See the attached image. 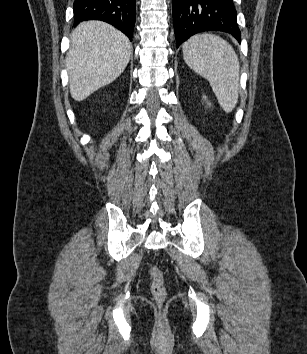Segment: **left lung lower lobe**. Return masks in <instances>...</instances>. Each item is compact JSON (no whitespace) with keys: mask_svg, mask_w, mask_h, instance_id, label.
I'll return each mask as SVG.
<instances>
[{"mask_svg":"<svg viewBox=\"0 0 307 354\" xmlns=\"http://www.w3.org/2000/svg\"><path fill=\"white\" fill-rule=\"evenodd\" d=\"M177 47L203 31H223L241 42L233 0H172Z\"/></svg>","mask_w":307,"mask_h":354,"instance_id":"0a47b994","label":"left lung lower lobe"}]
</instances>
